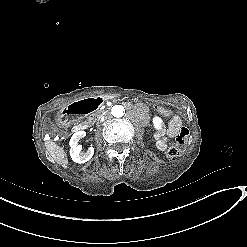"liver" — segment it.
Wrapping results in <instances>:
<instances>
[{"label":"liver","mask_w":247,"mask_h":247,"mask_svg":"<svg viewBox=\"0 0 247 247\" xmlns=\"http://www.w3.org/2000/svg\"><path fill=\"white\" fill-rule=\"evenodd\" d=\"M44 146L46 151L49 153L52 161H54L58 165L63 166L64 168L68 167L69 159L67 152L63 147L52 140L44 141Z\"/></svg>","instance_id":"obj_1"}]
</instances>
